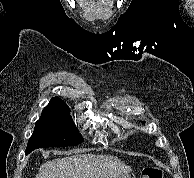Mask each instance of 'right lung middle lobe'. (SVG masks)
Here are the masks:
<instances>
[{"mask_svg":"<svg viewBox=\"0 0 194 178\" xmlns=\"http://www.w3.org/2000/svg\"><path fill=\"white\" fill-rule=\"evenodd\" d=\"M70 113L44 108L28 141L26 154L41 147H67L83 142Z\"/></svg>","mask_w":194,"mask_h":178,"instance_id":"dd1d6c3e","label":"right lung middle lobe"}]
</instances>
